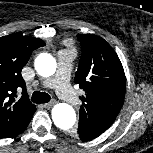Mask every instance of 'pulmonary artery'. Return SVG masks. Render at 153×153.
I'll use <instances>...</instances> for the list:
<instances>
[{
  "label": "pulmonary artery",
  "mask_w": 153,
  "mask_h": 153,
  "mask_svg": "<svg viewBox=\"0 0 153 153\" xmlns=\"http://www.w3.org/2000/svg\"><path fill=\"white\" fill-rule=\"evenodd\" d=\"M74 52L63 50L58 53V69L54 78L47 79L43 86L54 88L57 94L66 102L77 105L79 99L69 84V75L71 70Z\"/></svg>",
  "instance_id": "obj_1"
}]
</instances>
